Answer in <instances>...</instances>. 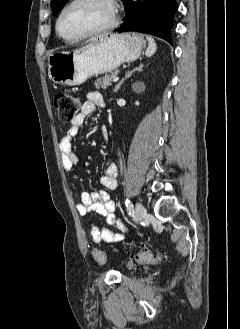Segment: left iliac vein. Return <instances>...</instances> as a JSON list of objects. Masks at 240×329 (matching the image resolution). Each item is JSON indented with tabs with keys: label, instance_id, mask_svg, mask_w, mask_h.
Returning a JSON list of instances; mask_svg holds the SVG:
<instances>
[{
	"label": "left iliac vein",
	"instance_id": "4c4485c4",
	"mask_svg": "<svg viewBox=\"0 0 240 329\" xmlns=\"http://www.w3.org/2000/svg\"><path fill=\"white\" fill-rule=\"evenodd\" d=\"M135 209H136L137 219L142 221L145 218L146 213H147L145 207L140 202H137L136 206H135Z\"/></svg>",
	"mask_w": 240,
	"mask_h": 329
}]
</instances>
